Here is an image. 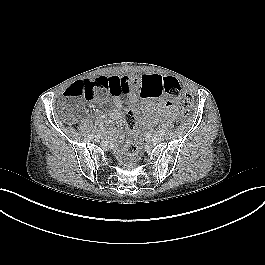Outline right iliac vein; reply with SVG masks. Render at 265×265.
I'll return each instance as SVG.
<instances>
[{"label":"right iliac vein","instance_id":"obj_1","mask_svg":"<svg viewBox=\"0 0 265 265\" xmlns=\"http://www.w3.org/2000/svg\"><path fill=\"white\" fill-rule=\"evenodd\" d=\"M95 140H96L97 142L102 141V136H100V135H96V136H95Z\"/></svg>","mask_w":265,"mask_h":265}]
</instances>
